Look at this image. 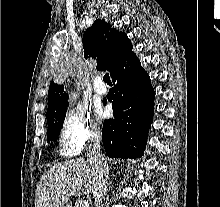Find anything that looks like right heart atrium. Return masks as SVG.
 <instances>
[{"mask_svg": "<svg viewBox=\"0 0 220 207\" xmlns=\"http://www.w3.org/2000/svg\"><path fill=\"white\" fill-rule=\"evenodd\" d=\"M100 140V131L83 111L68 112L61 123L59 141L61 148L77 154Z\"/></svg>", "mask_w": 220, "mask_h": 207, "instance_id": "1", "label": "right heart atrium"}]
</instances>
